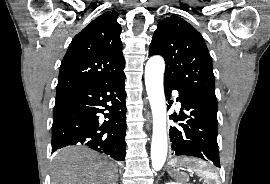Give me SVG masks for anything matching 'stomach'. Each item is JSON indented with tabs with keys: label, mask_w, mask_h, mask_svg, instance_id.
I'll return each instance as SVG.
<instances>
[{
	"label": "stomach",
	"mask_w": 270,
	"mask_h": 184,
	"mask_svg": "<svg viewBox=\"0 0 270 184\" xmlns=\"http://www.w3.org/2000/svg\"><path fill=\"white\" fill-rule=\"evenodd\" d=\"M184 164L182 159H173L168 164V173L171 177L184 181L186 174L184 173Z\"/></svg>",
	"instance_id": "stomach-1"
}]
</instances>
